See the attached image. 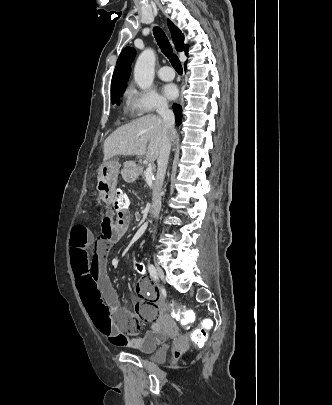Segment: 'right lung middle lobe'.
<instances>
[{"label": "right lung middle lobe", "mask_w": 332, "mask_h": 405, "mask_svg": "<svg viewBox=\"0 0 332 405\" xmlns=\"http://www.w3.org/2000/svg\"><path fill=\"white\" fill-rule=\"evenodd\" d=\"M126 83L127 82H123V83H120L117 86L111 88V100H112L113 104L116 103V102H117V104L119 103L118 102V97L120 95H122V93L124 92L125 87H126Z\"/></svg>", "instance_id": "obj_1"}]
</instances>
